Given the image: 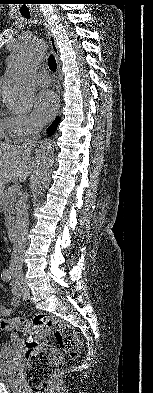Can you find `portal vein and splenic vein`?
Returning a JSON list of instances; mask_svg holds the SVG:
<instances>
[{
	"instance_id": "18ae733b",
	"label": "portal vein and splenic vein",
	"mask_w": 153,
	"mask_h": 393,
	"mask_svg": "<svg viewBox=\"0 0 153 393\" xmlns=\"http://www.w3.org/2000/svg\"><path fill=\"white\" fill-rule=\"evenodd\" d=\"M11 192H18L19 191V187L17 185H14L10 188Z\"/></svg>"
}]
</instances>
